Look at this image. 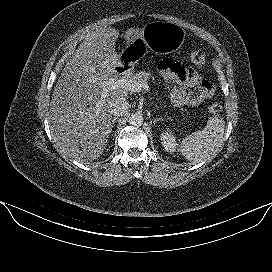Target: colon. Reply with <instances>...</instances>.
Here are the masks:
<instances>
[{"mask_svg": "<svg viewBox=\"0 0 272 272\" xmlns=\"http://www.w3.org/2000/svg\"><path fill=\"white\" fill-rule=\"evenodd\" d=\"M191 60L197 67H203L205 64V57L203 52L195 51L191 54ZM221 111V106L219 104L211 105L207 112L208 113H219Z\"/></svg>", "mask_w": 272, "mask_h": 272, "instance_id": "5ec220e1", "label": "colon"}]
</instances>
